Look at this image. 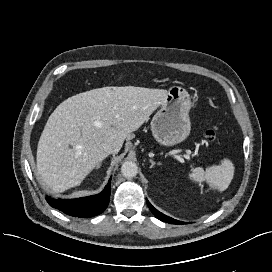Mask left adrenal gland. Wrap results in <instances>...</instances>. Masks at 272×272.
Here are the masks:
<instances>
[{
	"label": "left adrenal gland",
	"mask_w": 272,
	"mask_h": 272,
	"mask_svg": "<svg viewBox=\"0 0 272 272\" xmlns=\"http://www.w3.org/2000/svg\"><path fill=\"white\" fill-rule=\"evenodd\" d=\"M149 161H150V163H151L150 168H153L155 165H161V163H156V162H154L152 159H150Z\"/></svg>",
	"instance_id": "obj_1"
}]
</instances>
